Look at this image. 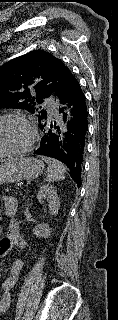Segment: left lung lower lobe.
<instances>
[{"label":"left lung lower lobe","instance_id":"left-lung-lower-lobe-1","mask_svg":"<svg viewBox=\"0 0 118 320\" xmlns=\"http://www.w3.org/2000/svg\"><path fill=\"white\" fill-rule=\"evenodd\" d=\"M57 103L63 121L66 122L68 114L72 116V119L64 126L60 118L52 121L48 119L47 115L42 118L39 121V128L44 135L39 149L34 154L52 157L64 163L69 169L71 178L80 186L88 129V113L85 96L74 76L69 79L62 92L57 96Z\"/></svg>","mask_w":118,"mask_h":320}]
</instances>
